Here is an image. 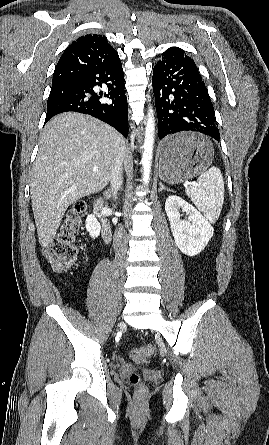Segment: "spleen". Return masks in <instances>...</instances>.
Returning <instances> with one entry per match:
<instances>
[{
  "label": "spleen",
  "instance_id": "obj_1",
  "mask_svg": "<svg viewBox=\"0 0 269 445\" xmlns=\"http://www.w3.org/2000/svg\"><path fill=\"white\" fill-rule=\"evenodd\" d=\"M185 192L210 223H215L224 201V180L219 168L212 166L201 173L197 182Z\"/></svg>",
  "mask_w": 269,
  "mask_h": 445
}]
</instances>
